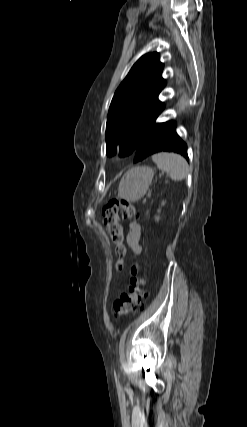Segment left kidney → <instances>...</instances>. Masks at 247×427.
Here are the masks:
<instances>
[{
    "label": "left kidney",
    "instance_id": "1",
    "mask_svg": "<svg viewBox=\"0 0 247 427\" xmlns=\"http://www.w3.org/2000/svg\"><path fill=\"white\" fill-rule=\"evenodd\" d=\"M165 205V201H162V203H161V206H164ZM161 212V210L159 209L158 210V213H160ZM159 219H160V216H155V220L158 222L159 221Z\"/></svg>",
    "mask_w": 247,
    "mask_h": 427
}]
</instances>
